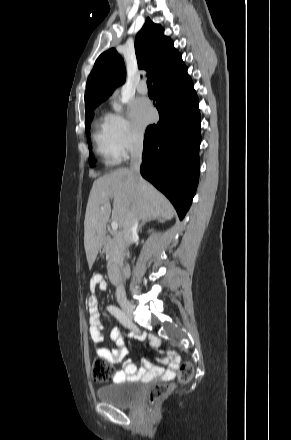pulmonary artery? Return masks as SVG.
Wrapping results in <instances>:
<instances>
[{
    "label": "pulmonary artery",
    "instance_id": "e3ab8cb5",
    "mask_svg": "<svg viewBox=\"0 0 291 440\" xmlns=\"http://www.w3.org/2000/svg\"><path fill=\"white\" fill-rule=\"evenodd\" d=\"M137 91L138 93L142 94V95H146L148 93V88L147 85L144 81H141L137 87Z\"/></svg>",
    "mask_w": 291,
    "mask_h": 440
}]
</instances>
